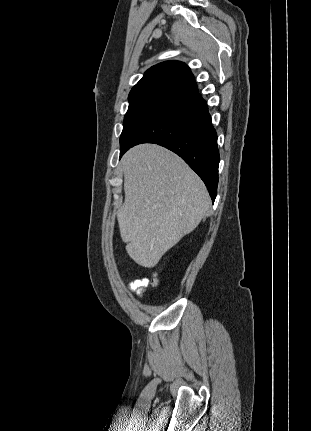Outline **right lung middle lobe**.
Here are the masks:
<instances>
[{"label":"right lung middle lobe","instance_id":"obj_1","mask_svg":"<svg viewBox=\"0 0 311 431\" xmlns=\"http://www.w3.org/2000/svg\"><path fill=\"white\" fill-rule=\"evenodd\" d=\"M180 98L175 94L153 89L130 92L129 107L124 117L123 131L120 136V151L124 149L139 128Z\"/></svg>","mask_w":311,"mask_h":431}]
</instances>
